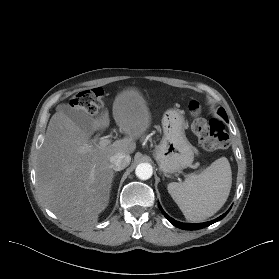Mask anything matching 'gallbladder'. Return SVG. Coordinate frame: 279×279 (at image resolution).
<instances>
[{"mask_svg": "<svg viewBox=\"0 0 279 279\" xmlns=\"http://www.w3.org/2000/svg\"><path fill=\"white\" fill-rule=\"evenodd\" d=\"M59 109L63 111V113L83 131L89 134H92L94 132L93 119L86 111L79 108L71 107L67 104L61 105Z\"/></svg>", "mask_w": 279, "mask_h": 279, "instance_id": "bac80fb5", "label": "gallbladder"}]
</instances>
